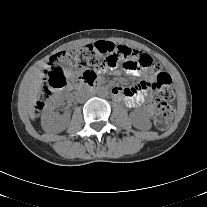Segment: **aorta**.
Returning <instances> with one entry per match:
<instances>
[{"mask_svg": "<svg viewBox=\"0 0 207 207\" xmlns=\"http://www.w3.org/2000/svg\"><path fill=\"white\" fill-rule=\"evenodd\" d=\"M100 94H101L102 96H106V95H107V91L104 90V89H101V90H100Z\"/></svg>", "mask_w": 207, "mask_h": 207, "instance_id": "aorta-1", "label": "aorta"}]
</instances>
